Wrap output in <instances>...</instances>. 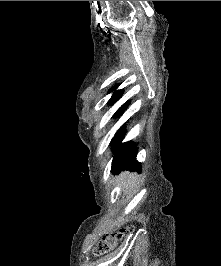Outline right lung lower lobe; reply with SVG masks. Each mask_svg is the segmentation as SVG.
I'll return each instance as SVG.
<instances>
[{
	"label": "right lung lower lobe",
	"instance_id": "1",
	"mask_svg": "<svg viewBox=\"0 0 221 266\" xmlns=\"http://www.w3.org/2000/svg\"><path fill=\"white\" fill-rule=\"evenodd\" d=\"M124 128H121L116 133L115 138L118 140L113 143V148L115 149V155L112 163V172L119 173L123 169L140 170L141 165L136 161L137 147L134 143L126 142L121 143L124 133L122 132Z\"/></svg>",
	"mask_w": 221,
	"mask_h": 266
}]
</instances>
